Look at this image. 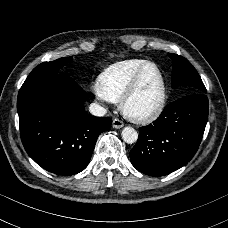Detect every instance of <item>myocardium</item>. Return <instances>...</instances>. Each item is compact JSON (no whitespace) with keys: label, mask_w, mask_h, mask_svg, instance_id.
Wrapping results in <instances>:
<instances>
[{"label":"myocardium","mask_w":228,"mask_h":228,"mask_svg":"<svg viewBox=\"0 0 228 228\" xmlns=\"http://www.w3.org/2000/svg\"><path fill=\"white\" fill-rule=\"evenodd\" d=\"M154 68L157 70V72L160 75L161 78V101L159 106L149 112V113H137L131 110L130 108V102L132 99L136 96L140 85L142 83V80L146 74V72L150 69ZM167 100H168V92H167V83L165 75L162 71V69L155 63H151L145 67H143L135 76L132 83L130 84L128 90L123 95L122 99L120 100V108L124 116H126L128 119L141 124H148L155 120H157L165 111L167 106Z\"/></svg>","instance_id":"obj_1"}]
</instances>
